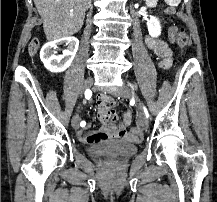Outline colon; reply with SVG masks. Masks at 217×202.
I'll return each mask as SVG.
<instances>
[{"mask_svg": "<svg viewBox=\"0 0 217 202\" xmlns=\"http://www.w3.org/2000/svg\"><path fill=\"white\" fill-rule=\"evenodd\" d=\"M170 35L173 37L174 41L178 45L180 49H184L190 42L189 36L186 33L184 27H172L169 30ZM39 47V40L37 38H33L30 40L28 45V53L30 56H34ZM132 132H137V127L131 128Z\"/></svg>", "mask_w": 217, "mask_h": 202, "instance_id": "obj_1", "label": "colon"}]
</instances>
